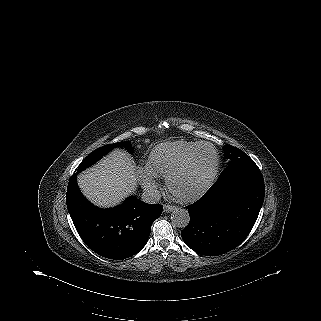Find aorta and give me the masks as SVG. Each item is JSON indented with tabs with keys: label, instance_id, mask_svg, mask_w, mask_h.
<instances>
[{
	"label": "aorta",
	"instance_id": "762f6f07",
	"mask_svg": "<svg viewBox=\"0 0 321 321\" xmlns=\"http://www.w3.org/2000/svg\"><path fill=\"white\" fill-rule=\"evenodd\" d=\"M171 222L175 227L185 228L190 222V215L184 208H176L171 214Z\"/></svg>",
	"mask_w": 321,
	"mask_h": 321
}]
</instances>
